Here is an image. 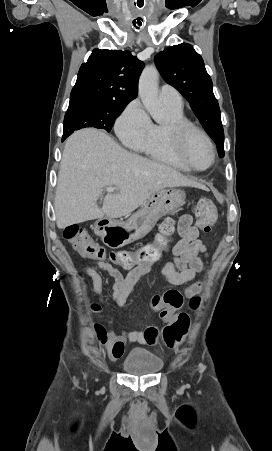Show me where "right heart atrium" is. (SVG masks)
<instances>
[{
  "mask_svg": "<svg viewBox=\"0 0 272 451\" xmlns=\"http://www.w3.org/2000/svg\"><path fill=\"white\" fill-rule=\"evenodd\" d=\"M151 127L150 117L138 101L131 102L116 122L117 133L130 145L142 143Z\"/></svg>",
  "mask_w": 272,
  "mask_h": 451,
  "instance_id": "right-heart-atrium-1",
  "label": "right heart atrium"
}]
</instances>
